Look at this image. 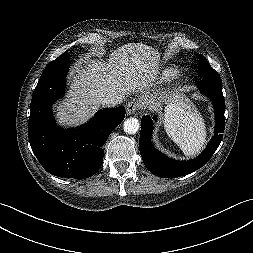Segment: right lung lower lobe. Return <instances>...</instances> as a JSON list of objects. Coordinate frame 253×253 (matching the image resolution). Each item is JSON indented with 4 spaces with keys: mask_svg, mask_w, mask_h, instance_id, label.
<instances>
[{
    "mask_svg": "<svg viewBox=\"0 0 253 253\" xmlns=\"http://www.w3.org/2000/svg\"><path fill=\"white\" fill-rule=\"evenodd\" d=\"M69 61L66 53L53 60L42 73L32 96L28 133L32 151L47 172L58 177L83 179L101 167L102 146L123 121L125 108L100 110L76 129L58 127L52 104L64 94Z\"/></svg>",
    "mask_w": 253,
    "mask_h": 253,
    "instance_id": "obj_1",
    "label": "right lung lower lobe"
}]
</instances>
